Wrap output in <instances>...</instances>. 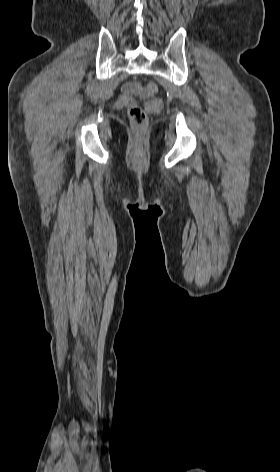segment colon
Returning <instances> with one entry per match:
<instances>
[{"label": "colon", "instance_id": "1", "mask_svg": "<svg viewBox=\"0 0 280 472\" xmlns=\"http://www.w3.org/2000/svg\"><path fill=\"white\" fill-rule=\"evenodd\" d=\"M146 95H154L158 92V85L155 82L147 84L144 90ZM128 117L134 129L141 133L143 132L148 124V117L145 111L135 103L128 106L127 109Z\"/></svg>", "mask_w": 280, "mask_h": 472}]
</instances>
